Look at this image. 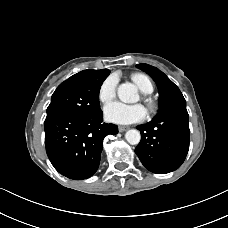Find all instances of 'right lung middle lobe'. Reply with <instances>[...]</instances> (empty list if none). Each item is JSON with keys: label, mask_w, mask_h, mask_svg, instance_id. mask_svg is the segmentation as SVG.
<instances>
[{"label": "right lung middle lobe", "mask_w": 228, "mask_h": 228, "mask_svg": "<svg viewBox=\"0 0 228 228\" xmlns=\"http://www.w3.org/2000/svg\"><path fill=\"white\" fill-rule=\"evenodd\" d=\"M110 70H83L61 83L51 97L47 117L55 114L95 115L101 111L99 91Z\"/></svg>", "instance_id": "1"}]
</instances>
